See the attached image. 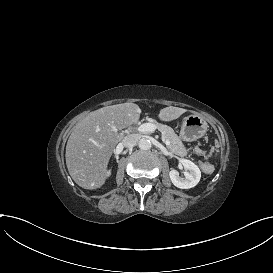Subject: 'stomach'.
Wrapping results in <instances>:
<instances>
[{"mask_svg":"<svg viewBox=\"0 0 273 273\" xmlns=\"http://www.w3.org/2000/svg\"><path fill=\"white\" fill-rule=\"evenodd\" d=\"M206 120L199 115H189L183 119L180 137L184 141H195L203 137L207 131Z\"/></svg>","mask_w":273,"mask_h":273,"instance_id":"stomach-1","label":"stomach"}]
</instances>
